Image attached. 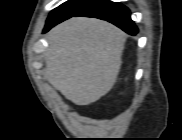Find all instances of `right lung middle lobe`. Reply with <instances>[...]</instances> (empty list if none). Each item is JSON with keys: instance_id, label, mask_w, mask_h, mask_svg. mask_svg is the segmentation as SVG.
Returning a JSON list of instances; mask_svg holds the SVG:
<instances>
[{"instance_id": "right-lung-middle-lobe-1", "label": "right lung middle lobe", "mask_w": 182, "mask_h": 140, "mask_svg": "<svg viewBox=\"0 0 182 140\" xmlns=\"http://www.w3.org/2000/svg\"><path fill=\"white\" fill-rule=\"evenodd\" d=\"M94 1L96 0H68L64 2L50 13L45 27L58 24L70 18L72 15L79 12Z\"/></svg>"}]
</instances>
